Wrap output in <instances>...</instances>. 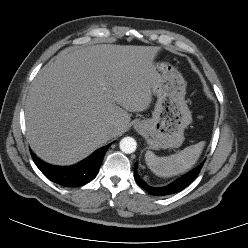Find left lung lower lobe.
Returning <instances> with one entry per match:
<instances>
[{
    "instance_id": "left-lung-lower-lobe-1",
    "label": "left lung lower lobe",
    "mask_w": 248,
    "mask_h": 248,
    "mask_svg": "<svg viewBox=\"0 0 248 248\" xmlns=\"http://www.w3.org/2000/svg\"><path fill=\"white\" fill-rule=\"evenodd\" d=\"M203 163L200 164L198 167H196L191 172L185 174L184 176L176 179L175 181L163 187H152V186H149L146 182H144L137 174V164H135L134 179L140 187H142L144 190H146L148 193L152 195H155V196L171 195V194L180 192L181 190L189 186L200 173Z\"/></svg>"
}]
</instances>
